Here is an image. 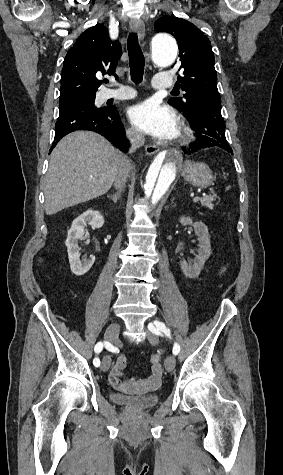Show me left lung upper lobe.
<instances>
[{
  "label": "left lung upper lobe",
  "instance_id": "obj_1",
  "mask_svg": "<svg viewBox=\"0 0 283 475\" xmlns=\"http://www.w3.org/2000/svg\"><path fill=\"white\" fill-rule=\"evenodd\" d=\"M154 28L156 32L173 35L179 46L181 61L179 70L183 71L184 76L178 77L177 83L186 93L183 99L171 98L168 103L188 117L203 101L221 102L217 89L214 55L207 36L194 24L175 16L159 18Z\"/></svg>",
  "mask_w": 283,
  "mask_h": 475
}]
</instances>
